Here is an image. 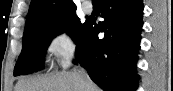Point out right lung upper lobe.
<instances>
[{
	"instance_id": "obj_1",
	"label": "right lung upper lobe",
	"mask_w": 173,
	"mask_h": 91,
	"mask_svg": "<svg viewBox=\"0 0 173 91\" xmlns=\"http://www.w3.org/2000/svg\"><path fill=\"white\" fill-rule=\"evenodd\" d=\"M75 12L73 0H31L25 29L62 20Z\"/></svg>"
}]
</instances>
